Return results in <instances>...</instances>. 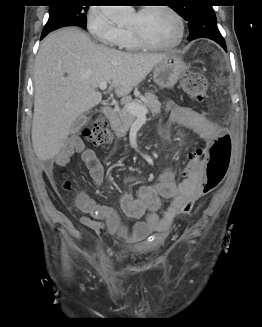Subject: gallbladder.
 <instances>
[{
	"instance_id": "gallbladder-1",
	"label": "gallbladder",
	"mask_w": 262,
	"mask_h": 327,
	"mask_svg": "<svg viewBox=\"0 0 262 327\" xmlns=\"http://www.w3.org/2000/svg\"><path fill=\"white\" fill-rule=\"evenodd\" d=\"M88 119L86 114L77 117L70 127V133L74 134L78 132L87 123Z\"/></svg>"
}]
</instances>
